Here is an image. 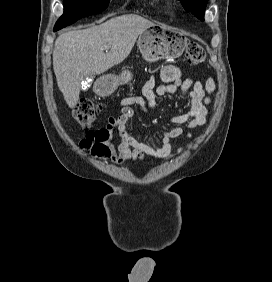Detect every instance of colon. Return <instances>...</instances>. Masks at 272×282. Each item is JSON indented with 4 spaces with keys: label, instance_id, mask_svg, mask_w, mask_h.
I'll list each match as a JSON object with an SVG mask.
<instances>
[{
    "label": "colon",
    "instance_id": "obj_1",
    "mask_svg": "<svg viewBox=\"0 0 272 282\" xmlns=\"http://www.w3.org/2000/svg\"><path fill=\"white\" fill-rule=\"evenodd\" d=\"M185 60L192 65H200L206 59V52L201 45L196 42H188L185 50ZM101 112V107L92 98L80 100L74 110V119L83 127H90ZM111 132L107 128L90 131L81 140V145L91 151L97 158H108L110 149L108 141Z\"/></svg>",
    "mask_w": 272,
    "mask_h": 282
}]
</instances>
